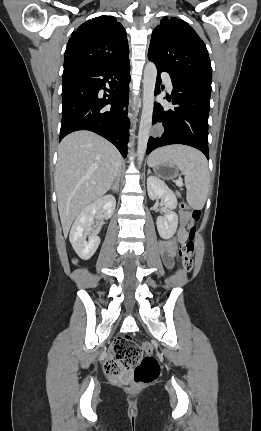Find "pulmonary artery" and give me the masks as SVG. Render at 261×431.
<instances>
[{
    "instance_id": "1",
    "label": "pulmonary artery",
    "mask_w": 261,
    "mask_h": 431,
    "mask_svg": "<svg viewBox=\"0 0 261 431\" xmlns=\"http://www.w3.org/2000/svg\"><path fill=\"white\" fill-rule=\"evenodd\" d=\"M162 78L166 84V86L168 87V89L172 90L173 86H172V81H171V77L168 73L163 72L162 73Z\"/></svg>"
}]
</instances>
